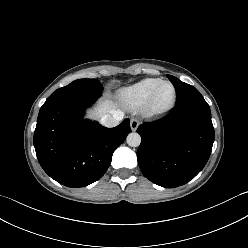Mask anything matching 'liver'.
Returning a JSON list of instances; mask_svg holds the SVG:
<instances>
[{
	"label": "liver",
	"mask_w": 248,
	"mask_h": 248,
	"mask_svg": "<svg viewBox=\"0 0 248 248\" xmlns=\"http://www.w3.org/2000/svg\"><path fill=\"white\" fill-rule=\"evenodd\" d=\"M115 108L116 104L113 101L105 99V101L97 105L95 112L91 113L89 116L91 118H98L106 114H111Z\"/></svg>",
	"instance_id": "1"
}]
</instances>
